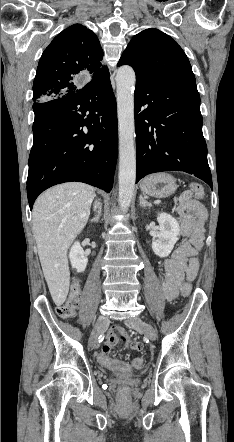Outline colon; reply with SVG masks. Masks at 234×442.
<instances>
[{
  "mask_svg": "<svg viewBox=\"0 0 234 442\" xmlns=\"http://www.w3.org/2000/svg\"><path fill=\"white\" fill-rule=\"evenodd\" d=\"M190 189L198 199H202L204 197V188L201 184L193 182L190 184ZM80 291H81L80 282L76 280L72 283L70 287V292L66 301L63 304H61L56 310L57 314L61 318H70L75 314V311L79 303ZM181 291L184 296H188L191 292V285L185 283L182 286ZM95 358L98 360L100 364L111 370H115L121 373H128L132 370L131 363L129 360L113 359L111 351L107 349H103L100 352H97ZM131 362L133 364L134 370H139L143 366V361L138 356L132 357Z\"/></svg>",
  "mask_w": 234,
  "mask_h": 442,
  "instance_id": "5ec220e1",
  "label": "colon"
}]
</instances>
